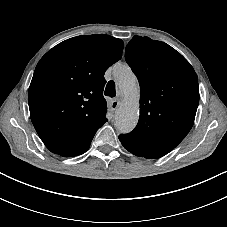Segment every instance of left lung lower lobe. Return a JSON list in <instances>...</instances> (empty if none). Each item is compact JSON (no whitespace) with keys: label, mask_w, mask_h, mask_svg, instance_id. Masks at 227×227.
I'll use <instances>...</instances> for the list:
<instances>
[{"label":"left lung lower lobe","mask_w":227,"mask_h":227,"mask_svg":"<svg viewBox=\"0 0 227 227\" xmlns=\"http://www.w3.org/2000/svg\"><path fill=\"white\" fill-rule=\"evenodd\" d=\"M119 139H120L122 145L124 146V148L136 156L145 157V158H149V159H155V158L164 156L160 152H157L151 148L141 147L139 145H136L132 141H127L122 138H119Z\"/></svg>","instance_id":"left-lung-lower-lobe-1"}]
</instances>
